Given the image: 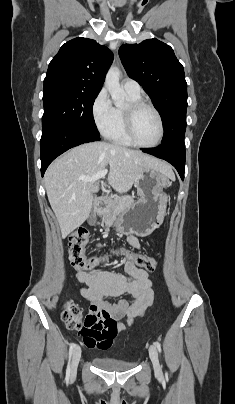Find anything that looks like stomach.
<instances>
[{
	"instance_id": "0dacf381",
	"label": "stomach",
	"mask_w": 235,
	"mask_h": 404,
	"mask_svg": "<svg viewBox=\"0 0 235 404\" xmlns=\"http://www.w3.org/2000/svg\"><path fill=\"white\" fill-rule=\"evenodd\" d=\"M169 185L166 174L154 168L144 169L135 181L139 198L118 214L114 224L116 229L123 234L145 237L159 228L168 200L163 189Z\"/></svg>"
}]
</instances>
